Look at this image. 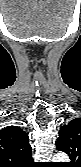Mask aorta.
<instances>
[{"label":"aorta","mask_w":81,"mask_h":167,"mask_svg":"<svg viewBox=\"0 0 81 167\" xmlns=\"http://www.w3.org/2000/svg\"><path fill=\"white\" fill-rule=\"evenodd\" d=\"M53 161L54 162H67L68 157L66 154L60 152L54 155Z\"/></svg>","instance_id":"obj_1"}]
</instances>
